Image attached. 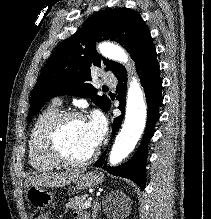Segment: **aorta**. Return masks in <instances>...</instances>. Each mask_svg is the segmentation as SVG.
I'll list each match as a JSON object with an SVG mask.
<instances>
[{"mask_svg":"<svg viewBox=\"0 0 211 219\" xmlns=\"http://www.w3.org/2000/svg\"><path fill=\"white\" fill-rule=\"evenodd\" d=\"M99 51L104 57L127 66L128 56L121 47L102 43L99 45ZM146 116L143 91L137 79L133 78L127 93L125 121L109 155L111 165H117L132 152L144 131Z\"/></svg>","mask_w":211,"mask_h":219,"instance_id":"1","label":"aorta"}]
</instances>
